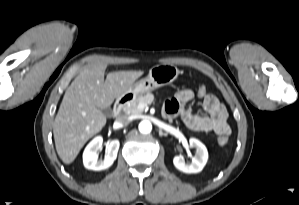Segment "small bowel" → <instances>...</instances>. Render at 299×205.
I'll use <instances>...</instances> for the list:
<instances>
[{
    "instance_id": "c3829d8e",
    "label": "small bowel",
    "mask_w": 299,
    "mask_h": 205,
    "mask_svg": "<svg viewBox=\"0 0 299 205\" xmlns=\"http://www.w3.org/2000/svg\"><path fill=\"white\" fill-rule=\"evenodd\" d=\"M194 98L190 89L179 90L175 96L164 105V114L180 116L184 125L193 131L214 132L217 135L229 134L227 112L216 96L206 94L202 98V106L206 114L192 112L186 109V104Z\"/></svg>"
}]
</instances>
